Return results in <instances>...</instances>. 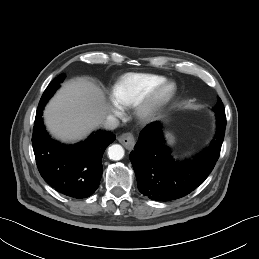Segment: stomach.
<instances>
[{
	"label": "stomach",
	"mask_w": 259,
	"mask_h": 259,
	"mask_svg": "<svg viewBox=\"0 0 259 259\" xmlns=\"http://www.w3.org/2000/svg\"><path fill=\"white\" fill-rule=\"evenodd\" d=\"M168 137H169V140L172 141V137L170 135H168Z\"/></svg>",
	"instance_id": "1"
}]
</instances>
